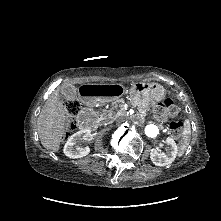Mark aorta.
Masks as SVG:
<instances>
[{
	"mask_svg": "<svg viewBox=\"0 0 221 221\" xmlns=\"http://www.w3.org/2000/svg\"><path fill=\"white\" fill-rule=\"evenodd\" d=\"M159 129L154 124H149L145 127V134L147 137L154 138L158 135Z\"/></svg>",
	"mask_w": 221,
	"mask_h": 221,
	"instance_id": "obj_1",
	"label": "aorta"
}]
</instances>
